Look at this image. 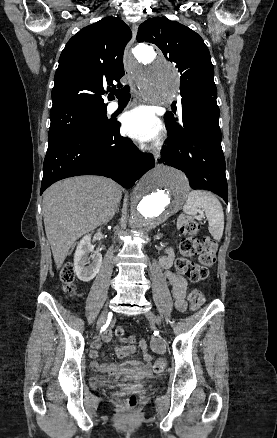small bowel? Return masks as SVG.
<instances>
[{
	"mask_svg": "<svg viewBox=\"0 0 277 438\" xmlns=\"http://www.w3.org/2000/svg\"><path fill=\"white\" fill-rule=\"evenodd\" d=\"M173 261L174 252L171 249H167L166 253L160 258V265L166 270L165 278L172 286L175 305L178 310L183 311L186 308L185 294L187 282L184 277L171 270ZM102 331L105 333V336L102 337V342L108 343L109 337L112 336V328L108 325H105L103 326ZM91 347V356L93 357L95 356L96 349L100 347V344L98 342H94ZM140 348L144 351V362H137L134 360L129 361L127 359H112L107 365H99L98 363L94 362L92 366L94 369L99 370L104 375L108 376L112 382H117L119 380L121 377V371H124L126 374H145L149 370L148 364L151 361V356L146 353L145 341L140 343ZM134 351L135 348L132 346L120 347L116 349L117 355L120 358L132 355Z\"/></svg>",
	"mask_w": 277,
	"mask_h": 438,
	"instance_id": "obj_1",
	"label": "small bowel"
}]
</instances>
